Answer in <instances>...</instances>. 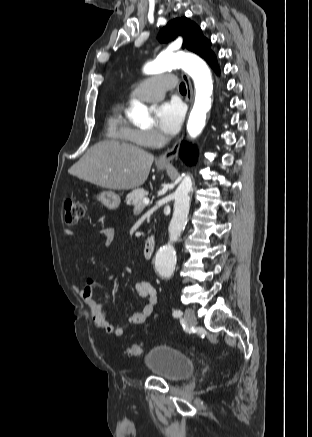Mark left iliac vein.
I'll list each match as a JSON object with an SVG mask.
<instances>
[{"label": "left iliac vein", "instance_id": "obj_1", "mask_svg": "<svg viewBox=\"0 0 312 437\" xmlns=\"http://www.w3.org/2000/svg\"><path fill=\"white\" fill-rule=\"evenodd\" d=\"M184 317L189 326L194 327L196 325V315L194 309L187 308L185 310Z\"/></svg>", "mask_w": 312, "mask_h": 437}]
</instances>
